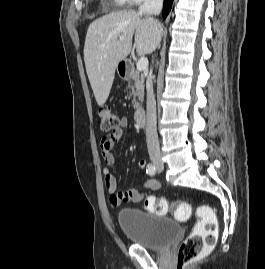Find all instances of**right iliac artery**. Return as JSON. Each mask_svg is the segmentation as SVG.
<instances>
[{"label": "right iliac artery", "instance_id": "1", "mask_svg": "<svg viewBox=\"0 0 265 269\" xmlns=\"http://www.w3.org/2000/svg\"><path fill=\"white\" fill-rule=\"evenodd\" d=\"M146 172L147 174L154 176L156 174V167L153 164H148Z\"/></svg>", "mask_w": 265, "mask_h": 269}]
</instances>
